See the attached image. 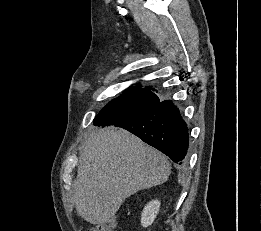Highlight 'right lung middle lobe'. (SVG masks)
Masks as SVG:
<instances>
[{"label": "right lung middle lobe", "instance_id": "right-lung-middle-lobe-1", "mask_svg": "<svg viewBox=\"0 0 261 231\" xmlns=\"http://www.w3.org/2000/svg\"><path fill=\"white\" fill-rule=\"evenodd\" d=\"M160 102L157 95L130 88L109 102L94 119L95 126H109L135 117Z\"/></svg>", "mask_w": 261, "mask_h": 231}]
</instances>
